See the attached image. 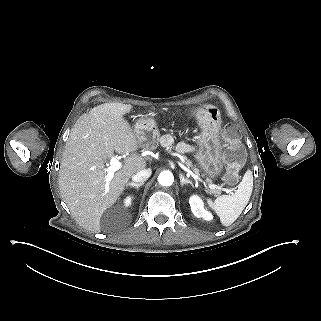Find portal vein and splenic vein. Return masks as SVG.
I'll use <instances>...</instances> for the list:
<instances>
[{"label":"portal vein and splenic vein","instance_id":"1","mask_svg":"<svg viewBox=\"0 0 321 321\" xmlns=\"http://www.w3.org/2000/svg\"><path fill=\"white\" fill-rule=\"evenodd\" d=\"M177 165L181 166V169H183L184 172H188V174L192 178H194V180H196V183H199V181H200L203 184V186H206L205 185L206 181H204L202 178H199V176H195L194 173H192L190 171V169L184 168V166H182V163L177 162ZM120 168H121V162L118 160L117 155L112 156L111 159H110V165L104 169V171L107 174V176H106L107 184L106 185H108L109 181L112 179V177L114 176L115 172L118 171ZM210 190H212V188H210Z\"/></svg>","mask_w":321,"mask_h":321}]
</instances>
